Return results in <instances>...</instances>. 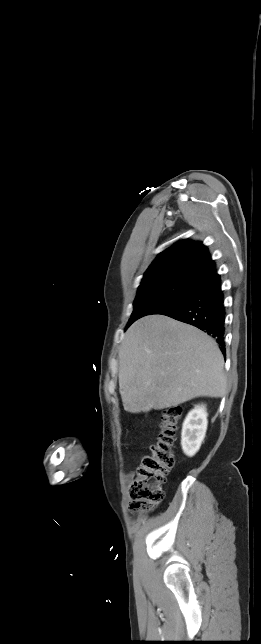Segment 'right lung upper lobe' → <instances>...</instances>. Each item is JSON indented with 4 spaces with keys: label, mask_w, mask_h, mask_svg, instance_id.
<instances>
[{
    "label": "right lung upper lobe",
    "mask_w": 261,
    "mask_h": 644,
    "mask_svg": "<svg viewBox=\"0 0 261 644\" xmlns=\"http://www.w3.org/2000/svg\"><path fill=\"white\" fill-rule=\"evenodd\" d=\"M216 272L207 247L182 240L161 252L144 274L141 285L171 278L201 282Z\"/></svg>",
    "instance_id": "cb5924a9"
}]
</instances>
